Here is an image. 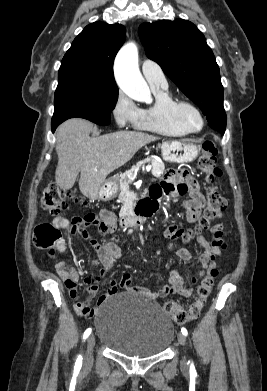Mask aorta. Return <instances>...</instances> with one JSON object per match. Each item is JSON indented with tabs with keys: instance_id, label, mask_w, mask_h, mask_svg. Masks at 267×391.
Returning <instances> with one entry per match:
<instances>
[{
	"instance_id": "1",
	"label": "aorta",
	"mask_w": 267,
	"mask_h": 391,
	"mask_svg": "<svg viewBox=\"0 0 267 391\" xmlns=\"http://www.w3.org/2000/svg\"><path fill=\"white\" fill-rule=\"evenodd\" d=\"M114 70L117 84L127 96L139 102L151 99L150 89L139 71L138 48L135 43H127L120 49Z\"/></svg>"
}]
</instances>
